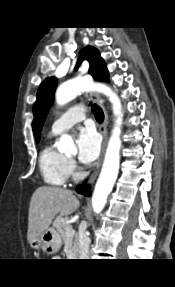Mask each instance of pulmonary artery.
Instances as JSON below:
<instances>
[{
	"label": "pulmonary artery",
	"instance_id": "1",
	"mask_svg": "<svg viewBox=\"0 0 175 287\" xmlns=\"http://www.w3.org/2000/svg\"><path fill=\"white\" fill-rule=\"evenodd\" d=\"M86 118L85 108L82 105H75L58 117L52 124L51 133L54 135L67 131L76 123Z\"/></svg>",
	"mask_w": 175,
	"mask_h": 287
}]
</instances>
